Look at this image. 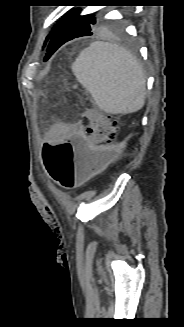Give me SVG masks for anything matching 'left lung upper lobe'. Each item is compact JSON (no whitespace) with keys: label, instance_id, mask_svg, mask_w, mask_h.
I'll return each instance as SVG.
<instances>
[{"label":"left lung upper lobe","instance_id":"left-lung-upper-lobe-1","mask_svg":"<svg viewBox=\"0 0 184 327\" xmlns=\"http://www.w3.org/2000/svg\"><path fill=\"white\" fill-rule=\"evenodd\" d=\"M64 23L68 28L78 31L81 36H87L92 35L101 21L97 20L93 14L81 16L80 9H74L64 16ZM51 35L52 33L47 36L46 42Z\"/></svg>","mask_w":184,"mask_h":327}]
</instances>
